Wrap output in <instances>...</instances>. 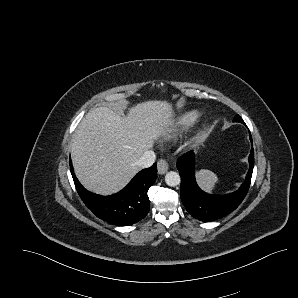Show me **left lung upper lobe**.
<instances>
[{"instance_id": "left-lung-upper-lobe-1", "label": "left lung upper lobe", "mask_w": 298, "mask_h": 298, "mask_svg": "<svg viewBox=\"0 0 298 298\" xmlns=\"http://www.w3.org/2000/svg\"><path fill=\"white\" fill-rule=\"evenodd\" d=\"M233 121H234V122H241V123H242L243 120L241 119V117H240L239 115H236V116L234 117Z\"/></svg>"}]
</instances>
